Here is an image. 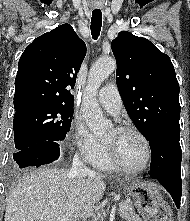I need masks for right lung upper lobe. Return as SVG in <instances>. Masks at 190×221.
I'll list each match as a JSON object with an SVG mask.
<instances>
[{
    "label": "right lung upper lobe",
    "mask_w": 190,
    "mask_h": 221,
    "mask_svg": "<svg viewBox=\"0 0 190 221\" xmlns=\"http://www.w3.org/2000/svg\"><path fill=\"white\" fill-rule=\"evenodd\" d=\"M86 45L69 24L36 38L23 52L15 79L14 107L20 112L38 105L73 107L74 88Z\"/></svg>",
    "instance_id": "cb5924a9"
}]
</instances>
